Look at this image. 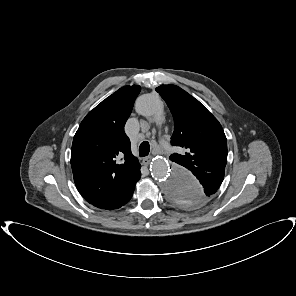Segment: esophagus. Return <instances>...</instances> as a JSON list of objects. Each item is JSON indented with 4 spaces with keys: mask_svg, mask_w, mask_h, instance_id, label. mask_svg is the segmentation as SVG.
I'll return each instance as SVG.
<instances>
[{
    "mask_svg": "<svg viewBox=\"0 0 296 296\" xmlns=\"http://www.w3.org/2000/svg\"><path fill=\"white\" fill-rule=\"evenodd\" d=\"M151 159V156L144 157L142 163L147 166L151 162Z\"/></svg>",
    "mask_w": 296,
    "mask_h": 296,
    "instance_id": "esophagus-1",
    "label": "esophagus"
}]
</instances>
